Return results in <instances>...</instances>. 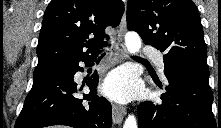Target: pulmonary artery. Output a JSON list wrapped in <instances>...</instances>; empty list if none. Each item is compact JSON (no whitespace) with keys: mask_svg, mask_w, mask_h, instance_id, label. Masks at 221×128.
<instances>
[{"mask_svg":"<svg viewBox=\"0 0 221 128\" xmlns=\"http://www.w3.org/2000/svg\"><path fill=\"white\" fill-rule=\"evenodd\" d=\"M144 55L150 58H153V60L156 62V65L160 71L164 70V61L161 54L157 53L155 49H148L144 52Z\"/></svg>","mask_w":221,"mask_h":128,"instance_id":"obj_1","label":"pulmonary artery"}]
</instances>
